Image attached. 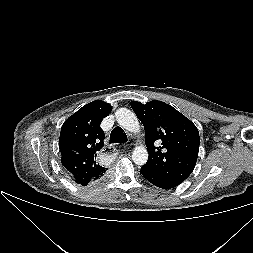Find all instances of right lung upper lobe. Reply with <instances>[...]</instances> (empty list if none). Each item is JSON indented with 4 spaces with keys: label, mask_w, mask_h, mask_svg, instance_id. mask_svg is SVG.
<instances>
[{
    "label": "right lung upper lobe",
    "mask_w": 253,
    "mask_h": 253,
    "mask_svg": "<svg viewBox=\"0 0 253 253\" xmlns=\"http://www.w3.org/2000/svg\"><path fill=\"white\" fill-rule=\"evenodd\" d=\"M111 110L109 103L95 100L80 108L62 125L59 139L61 162L79 185L97 181L107 170L97 163L96 157L105 138L100 124Z\"/></svg>",
    "instance_id": "cb5924a9"
}]
</instances>
